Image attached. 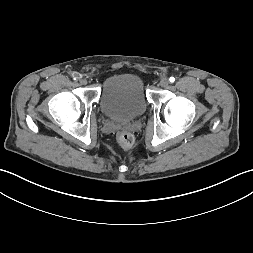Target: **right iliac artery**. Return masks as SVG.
<instances>
[{
  "instance_id": "right-iliac-artery-1",
  "label": "right iliac artery",
  "mask_w": 253,
  "mask_h": 253,
  "mask_svg": "<svg viewBox=\"0 0 253 253\" xmlns=\"http://www.w3.org/2000/svg\"><path fill=\"white\" fill-rule=\"evenodd\" d=\"M80 78V75H78V74H75V75H73V79L76 81V80H78Z\"/></svg>"
}]
</instances>
